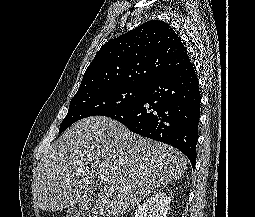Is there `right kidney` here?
Wrapping results in <instances>:
<instances>
[{"label": "right kidney", "instance_id": "ca27d5eb", "mask_svg": "<svg viewBox=\"0 0 255 217\" xmlns=\"http://www.w3.org/2000/svg\"><path fill=\"white\" fill-rule=\"evenodd\" d=\"M171 198L164 192H157L138 206L134 217H167Z\"/></svg>", "mask_w": 255, "mask_h": 217}]
</instances>
